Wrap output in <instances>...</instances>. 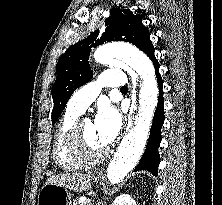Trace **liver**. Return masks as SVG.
<instances>
[{"label":"liver","instance_id":"obj_1","mask_svg":"<svg viewBox=\"0 0 222 205\" xmlns=\"http://www.w3.org/2000/svg\"><path fill=\"white\" fill-rule=\"evenodd\" d=\"M93 174L88 173H67V174H57L53 175L47 179V183L57 184L68 188L75 192H82L89 189Z\"/></svg>","mask_w":222,"mask_h":205}]
</instances>
